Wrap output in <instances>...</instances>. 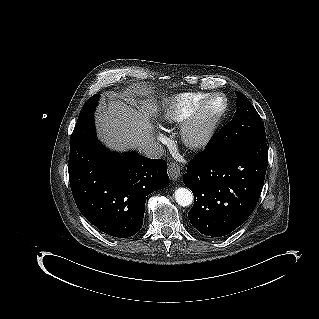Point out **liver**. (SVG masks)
I'll return each mask as SVG.
<instances>
[{"mask_svg":"<svg viewBox=\"0 0 319 319\" xmlns=\"http://www.w3.org/2000/svg\"><path fill=\"white\" fill-rule=\"evenodd\" d=\"M152 105L147 101L127 102L110 95L108 103L99 106L96 112V127L99 137L108 147L125 151L154 142V127L150 122Z\"/></svg>","mask_w":319,"mask_h":319,"instance_id":"obj_1","label":"liver"}]
</instances>
